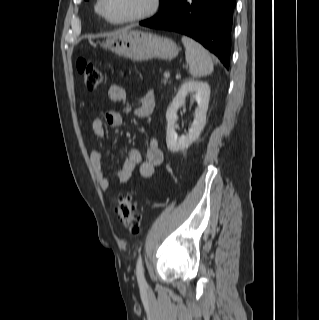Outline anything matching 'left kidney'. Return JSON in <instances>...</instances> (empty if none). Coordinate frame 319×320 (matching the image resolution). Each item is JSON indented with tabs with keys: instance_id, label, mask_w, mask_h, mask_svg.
I'll use <instances>...</instances> for the list:
<instances>
[{
	"instance_id": "obj_1",
	"label": "left kidney",
	"mask_w": 319,
	"mask_h": 320,
	"mask_svg": "<svg viewBox=\"0 0 319 320\" xmlns=\"http://www.w3.org/2000/svg\"><path fill=\"white\" fill-rule=\"evenodd\" d=\"M195 93L198 107L195 110V118L189 133L178 136L175 131V122L177 120V111L185 103L188 94ZM210 98V87L203 81L188 80L185 81L172 100L166 112L167 133L166 143L171 152H178L190 146L201 134L206 124V113L208 110Z\"/></svg>"
}]
</instances>
